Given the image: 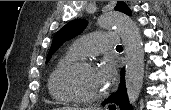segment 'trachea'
<instances>
[{
  "mask_svg": "<svg viewBox=\"0 0 171 110\" xmlns=\"http://www.w3.org/2000/svg\"><path fill=\"white\" fill-rule=\"evenodd\" d=\"M123 47L121 45H117L116 49H122Z\"/></svg>",
  "mask_w": 171,
  "mask_h": 110,
  "instance_id": "3493384b",
  "label": "trachea"
}]
</instances>
